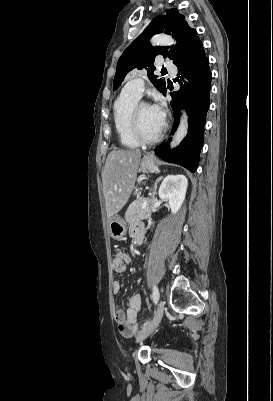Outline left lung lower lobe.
<instances>
[{
  "label": "left lung lower lobe",
  "mask_w": 273,
  "mask_h": 401,
  "mask_svg": "<svg viewBox=\"0 0 273 401\" xmlns=\"http://www.w3.org/2000/svg\"><path fill=\"white\" fill-rule=\"evenodd\" d=\"M178 67L177 78L180 90L171 94V107L174 113L176 130L179 121L180 105H184L188 113V134L180 146L173 151L168 148L171 138L155 148L156 155L162 160L179 164L191 172H195L199 162V154L203 145L204 125L209 109L211 71L202 42L199 40L183 52L174 62ZM166 91L163 95L166 94Z\"/></svg>",
  "instance_id": "1"
}]
</instances>
